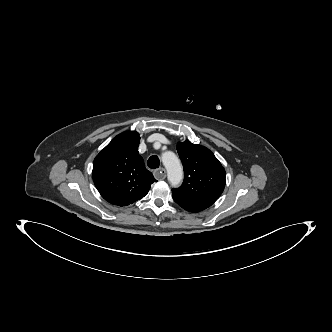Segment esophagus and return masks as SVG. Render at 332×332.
<instances>
[{
  "mask_svg": "<svg viewBox=\"0 0 332 332\" xmlns=\"http://www.w3.org/2000/svg\"><path fill=\"white\" fill-rule=\"evenodd\" d=\"M154 176L158 180H164L166 178V170L164 168H159L154 171Z\"/></svg>",
  "mask_w": 332,
  "mask_h": 332,
  "instance_id": "34e87169",
  "label": "esophagus"
}]
</instances>
